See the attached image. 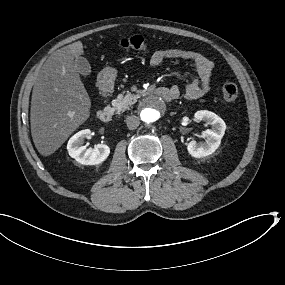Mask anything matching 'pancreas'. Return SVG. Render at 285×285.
I'll return each mask as SVG.
<instances>
[{"instance_id": "1", "label": "pancreas", "mask_w": 285, "mask_h": 285, "mask_svg": "<svg viewBox=\"0 0 285 285\" xmlns=\"http://www.w3.org/2000/svg\"><path fill=\"white\" fill-rule=\"evenodd\" d=\"M138 99L139 96L136 93L127 94L125 97L123 95H119L118 97L112 99L111 104L115 108L116 113L121 114L136 103Z\"/></svg>"}]
</instances>
